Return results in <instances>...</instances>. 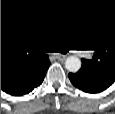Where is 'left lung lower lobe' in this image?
Segmentation results:
<instances>
[{
  "mask_svg": "<svg viewBox=\"0 0 115 114\" xmlns=\"http://www.w3.org/2000/svg\"><path fill=\"white\" fill-rule=\"evenodd\" d=\"M69 79L78 89L88 93H98L114 83V79L87 71L70 73Z\"/></svg>",
  "mask_w": 115,
  "mask_h": 114,
  "instance_id": "1",
  "label": "left lung lower lobe"
}]
</instances>
